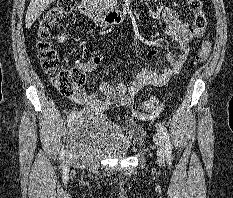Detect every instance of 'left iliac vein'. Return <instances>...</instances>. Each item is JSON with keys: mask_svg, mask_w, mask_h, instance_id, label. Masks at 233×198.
I'll use <instances>...</instances> for the list:
<instances>
[{"mask_svg": "<svg viewBox=\"0 0 233 198\" xmlns=\"http://www.w3.org/2000/svg\"><path fill=\"white\" fill-rule=\"evenodd\" d=\"M155 143L157 145V156L160 161H164L165 159V148L163 143V138L160 133L155 135Z\"/></svg>", "mask_w": 233, "mask_h": 198, "instance_id": "1", "label": "left iliac vein"}]
</instances>
